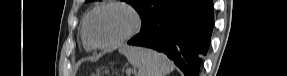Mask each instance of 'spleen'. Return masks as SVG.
I'll list each match as a JSON object with an SVG mask.
<instances>
[{"mask_svg":"<svg viewBox=\"0 0 287 76\" xmlns=\"http://www.w3.org/2000/svg\"><path fill=\"white\" fill-rule=\"evenodd\" d=\"M119 52L138 69L137 76H166L173 70L172 62L163 54L135 46H124Z\"/></svg>","mask_w":287,"mask_h":76,"instance_id":"3e777b00","label":"spleen"}]
</instances>
